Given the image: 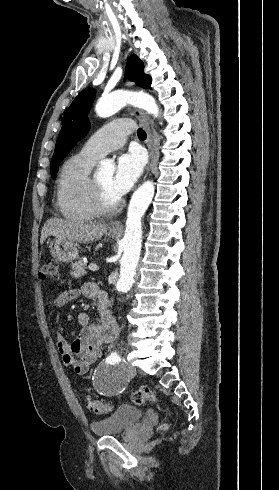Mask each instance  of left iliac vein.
Instances as JSON below:
<instances>
[{"mask_svg": "<svg viewBox=\"0 0 279 490\" xmlns=\"http://www.w3.org/2000/svg\"><path fill=\"white\" fill-rule=\"evenodd\" d=\"M133 362H134V361H133V359L128 358V359L126 360V363H125V366H126V368L128 369V371H129V373H130V374H131V373H135V369H134V367L131 365V364H133Z\"/></svg>", "mask_w": 279, "mask_h": 490, "instance_id": "4c4485c4", "label": "left iliac vein"}]
</instances>
